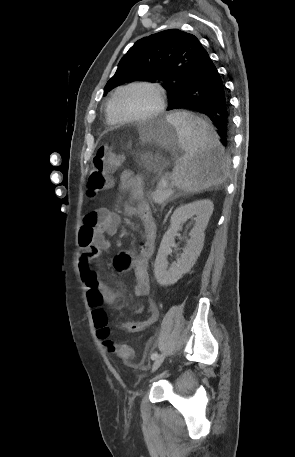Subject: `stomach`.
I'll return each instance as SVG.
<instances>
[{
    "label": "stomach",
    "mask_w": 295,
    "mask_h": 457,
    "mask_svg": "<svg viewBox=\"0 0 295 457\" xmlns=\"http://www.w3.org/2000/svg\"><path fill=\"white\" fill-rule=\"evenodd\" d=\"M141 139L143 144L155 145L165 149H176L179 146L176 127L168 121L167 117L152 121L142 129ZM143 163L149 170H158L162 164V157L156 154H146Z\"/></svg>",
    "instance_id": "1"
}]
</instances>
